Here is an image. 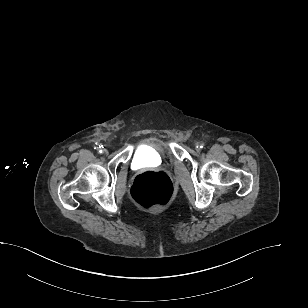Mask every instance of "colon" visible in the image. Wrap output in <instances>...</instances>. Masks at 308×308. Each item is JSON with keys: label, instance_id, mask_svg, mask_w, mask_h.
<instances>
[{"label": "colon", "instance_id": "5ec220e1", "mask_svg": "<svg viewBox=\"0 0 308 308\" xmlns=\"http://www.w3.org/2000/svg\"><path fill=\"white\" fill-rule=\"evenodd\" d=\"M130 194L134 202L142 207H162L170 201L173 185L163 172H146L135 178Z\"/></svg>", "mask_w": 308, "mask_h": 308}]
</instances>
